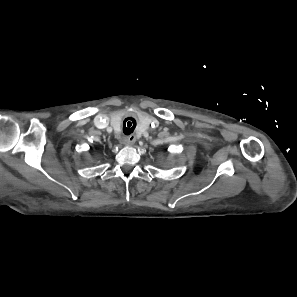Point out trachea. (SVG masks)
<instances>
[{"label": "trachea", "instance_id": "trachea-1", "mask_svg": "<svg viewBox=\"0 0 297 297\" xmlns=\"http://www.w3.org/2000/svg\"><path fill=\"white\" fill-rule=\"evenodd\" d=\"M123 130H124V133H125L126 135H129V134L132 133V130H129V129H127V128H124Z\"/></svg>", "mask_w": 297, "mask_h": 297}]
</instances>
